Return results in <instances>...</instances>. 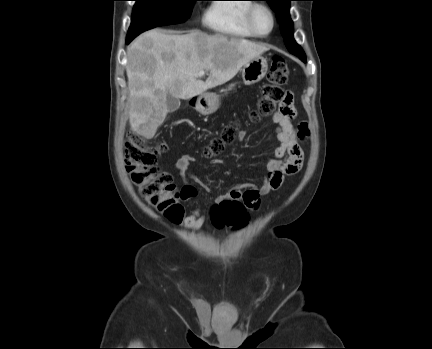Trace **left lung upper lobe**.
Returning <instances> with one entry per match:
<instances>
[{"instance_id":"5c2ea615","label":"left lung upper lobe","mask_w":432,"mask_h":349,"mask_svg":"<svg viewBox=\"0 0 432 349\" xmlns=\"http://www.w3.org/2000/svg\"><path fill=\"white\" fill-rule=\"evenodd\" d=\"M276 12L277 20L280 24L281 34L290 53L296 55L301 60H306V55L302 48L293 38V22L290 18V1L292 0H264Z\"/></svg>"}]
</instances>
